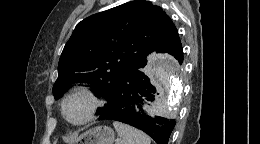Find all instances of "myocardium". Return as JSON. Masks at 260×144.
Here are the masks:
<instances>
[{"label":"myocardium","instance_id":"myocardium-1","mask_svg":"<svg viewBox=\"0 0 260 144\" xmlns=\"http://www.w3.org/2000/svg\"><path fill=\"white\" fill-rule=\"evenodd\" d=\"M85 96L89 102H90V106L88 109V112L86 114V116L80 120V121H71L68 119L67 115H66V103L73 97L76 96ZM101 102L97 96V94L95 93V91L88 85H79L75 88H73L62 100L61 102V113L63 118L70 123L71 125L74 126H81L84 125L88 122H90L95 115L97 114L99 108H100Z\"/></svg>","mask_w":260,"mask_h":144}]
</instances>
